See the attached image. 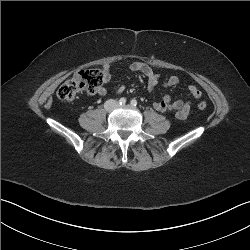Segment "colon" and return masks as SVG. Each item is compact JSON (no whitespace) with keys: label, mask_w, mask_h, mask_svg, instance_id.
Instances as JSON below:
<instances>
[{"label":"colon","mask_w":250,"mask_h":250,"mask_svg":"<svg viewBox=\"0 0 250 250\" xmlns=\"http://www.w3.org/2000/svg\"><path fill=\"white\" fill-rule=\"evenodd\" d=\"M103 82L104 77L101 71L81 70L59 87L57 96L62 101L70 102L80 93H95ZM206 107L205 102L198 104L200 110H204Z\"/></svg>","instance_id":"5ec220e1"}]
</instances>
